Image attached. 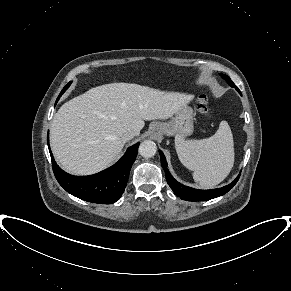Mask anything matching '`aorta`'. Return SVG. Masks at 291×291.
I'll return each mask as SVG.
<instances>
[{"mask_svg":"<svg viewBox=\"0 0 291 291\" xmlns=\"http://www.w3.org/2000/svg\"><path fill=\"white\" fill-rule=\"evenodd\" d=\"M156 151V144L151 140H145L139 146V153L144 158L153 157L156 154Z\"/></svg>","mask_w":291,"mask_h":291,"instance_id":"1","label":"aorta"}]
</instances>
